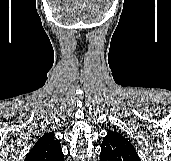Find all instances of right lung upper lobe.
I'll list each match as a JSON object with an SVG mask.
<instances>
[{
	"label": "right lung upper lobe",
	"mask_w": 171,
	"mask_h": 161,
	"mask_svg": "<svg viewBox=\"0 0 171 161\" xmlns=\"http://www.w3.org/2000/svg\"><path fill=\"white\" fill-rule=\"evenodd\" d=\"M25 161H64L60 141L54 133H45L27 154Z\"/></svg>",
	"instance_id": "cb5924a9"
}]
</instances>
